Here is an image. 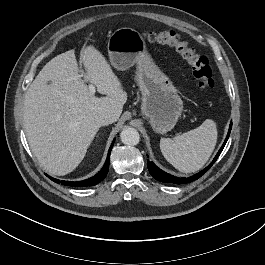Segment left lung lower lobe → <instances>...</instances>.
I'll return each instance as SVG.
<instances>
[{"mask_svg": "<svg viewBox=\"0 0 265 265\" xmlns=\"http://www.w3.org/2000/svg\"><path fill=\"white\" fill-rule=\"evenodd\" d=\"M231 128H232V123H230V127H229V131L228 134L226 136V139L222 145V147L220 148V150L218 151L217 155L215 156L214 160L211 162V164L206 167L205 169H203L202 171H200L199 173L190 176L188 178H178L175 176H172L164 171H162L160 168H158L153 162H147V166H148V170L150 172V174L157 179L158 181L161 182H165V183H174V184H184V183H189L192 182L196 179H198L199 177H201L205 172H207L209 170V168L213 165V163L217 160L218 156L221 154L228 138L231 132Z\"/></svg>", "mask_w": 265, "mask_h": 265, "instance_id": "obj_1", "label": "left lung lower lobe"}]
</instances>
